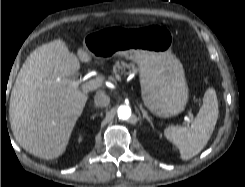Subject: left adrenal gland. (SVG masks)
<instances>
[{"mask_svg": "<svg viewBox=\"0 0 245 187\" xmlns=\"http://www.w3.org/2000/svg\"><path fill=\"white\" fill-rule=\"evenodd\" d=\"M140 110L142 111L143 118H145L150 123V125L153 127V123L150 117L148 116L147 112L143 109L142 105H140Z\"/></svg>", "mask_w": 245, "mask_h": 187, "instance_id": "obj_1", "label": "left adrenal gland"}]
</instances>
